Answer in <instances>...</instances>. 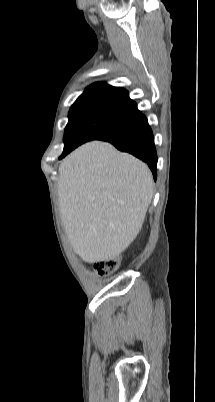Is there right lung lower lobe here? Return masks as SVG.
<instances>
[{
  "instance_id": "obj_1",
  "label": "right lung lower lobe",
  "mask_w": 215,
  "mask_h": 402,
  "mask_svg": "<svg viewBox=\"0 0 215 402\" xmlns=\"http://www.w3.org/2000/svg\"><path fill=\"white\" fill-rule=\"evenodd\" d=\"M105 141L113 144L118 150L128 152L146 162L156 180L157 153L154 137L147 118L143 114L116 137Z\"/></svg>"
}]
</instances>
